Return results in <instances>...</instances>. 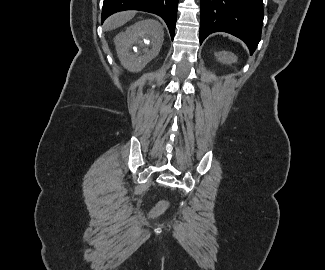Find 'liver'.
<instances>
[{
  "mask_svg": "<svg viewBox=\"0 0 325 270\" xmlns=\"http://www.w3.org/2000/svg\"><path fill=\"white\" fill-rule=\"evenodd\" d=\"M135 16L134 11H125L121 13H116L109 17L105 22V29L106 30H113L116 29L128 21H130Z\"/></svg>",
  "mask_w": 325,
  "mask_h": 270,
  "instance_id": "obj_1",
  "label": "liver"
}]
</instances>
